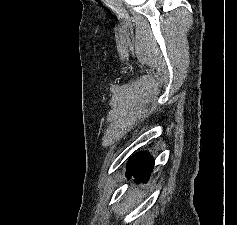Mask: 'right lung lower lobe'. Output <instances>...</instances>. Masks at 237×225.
I'll use <instances>...</instances> for the list:
<instances>
[{
	"label": "right lung lower lobe",
	"mask_w": 237,
	"mask_h": 225,
	"mask_svg": "<svg viewBox=\"0 0 237 225\" xmlns=\"http://www.w3.org/2000/svg\"><path fill=\"white\" fill-rule=\"evenodd\" d=\"M153 166L152 158L148 154L138 153L129 161L127 176L128 178L134 176L136 183H145Z\"/></svg>",
	"instance_id": "obj_1"
}]
</instances>
